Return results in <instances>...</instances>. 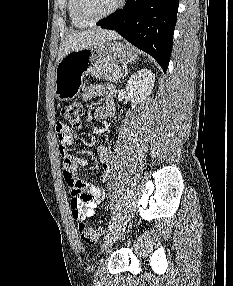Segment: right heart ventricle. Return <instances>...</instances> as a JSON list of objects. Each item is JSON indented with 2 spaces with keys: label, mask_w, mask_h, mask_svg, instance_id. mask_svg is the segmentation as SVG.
Listing matches in <instances>:
<instances>
[{
  "label": "right heart ventricle",
  "mask_w": 233,
  "mask_h": 286,
  "mask_svg": "<svg viewBox=\"0 0 233 286\" xmlns=\"http://www.w3.org/2000/svg\"><path fill=\"white\" fill-rule=\"evenodd\" d=\"M75 6H76V1L75 0H68L67 11H68V15H69V18L71 20V23L73 24V26H75L77 28H85V27H87L88 24L83 22L77 16Z\"/></svg>",
  "instance_id": "1"
}]
</instances>
